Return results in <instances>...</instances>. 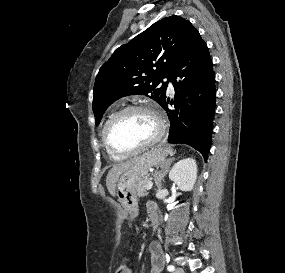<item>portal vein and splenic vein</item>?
Returning <instances> with one entry per match:
<instances>
[{"instance_id": "portal-vein-and-splenic-vein-1", "label": "portal vein and splenic vein", "mask_w": 285, "mask_h": 273, "mask_svg": "<svg viewBox=\"0 0 285 273\" xmlns=\"http://www.w3.org/2000/svg\"><path fill=\"white\" fill-rule=\"evenodd\" d=\"M152 186H153V182L150 181L147 185V190H151Z\"/></svg>"}]
</instances>
